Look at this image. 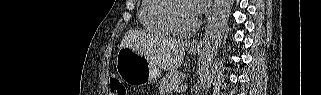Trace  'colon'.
<instances>
[{"instance_id":"5ec220e1","label":"colon","mask_w":321,"mask_h":95,"mask_svg":"<svg viewBox=\"0 0 321 95\" xmlns=\"http://www.w3.org/2000/svg\"><path fill=\"white\" fill-rule=\"evenodd\" d=\"M110 86L111 89L118 95H126L127 89L119 76L116 73H113L110 77Z\"/></svg>"}]
</instances>
